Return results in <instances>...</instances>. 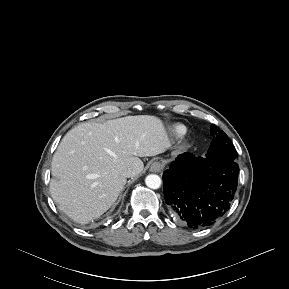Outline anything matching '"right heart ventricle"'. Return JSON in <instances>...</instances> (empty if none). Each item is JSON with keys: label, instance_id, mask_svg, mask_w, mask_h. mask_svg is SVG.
I'll list each match as a JSON object with an SVG mask.
<instances>
[{"label": "right heart ventricle", "instance_id": "right-heart-ventricle-1", "mask_svg": "<svg viewBox=\"0 0 289 289\" xmlns=\"http://www.w3.org/2000/svg\"><path fill=\"white\" fill-rule=\"evenodd\" d=\"M173 132L176 136L181 137L186 133V128L182 125H176L173 128Z\"/></svg>", "mask_w": 289, "mask_h": 289}]
</instances>
